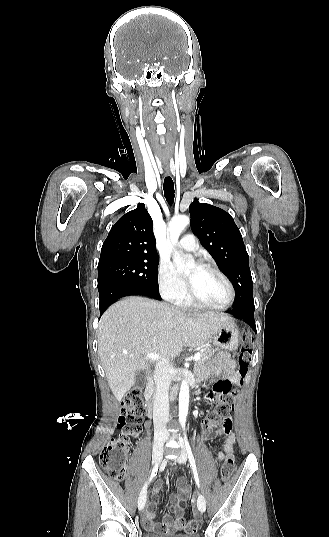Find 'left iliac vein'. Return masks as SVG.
<instances>
[{"mask_svg":"<svg viewBox=\"0 0 329 537\" xmlns=\"http://www.w3.org/2000/svg\"><path fill=\"white\" fill-rule=\"evenodd\" d=\"M177 442L180 445V456L178 457L177 461L179 463H185L187 461V453L185 451L184 442L183 439L180 437V435L176 436ZM197 507L200 512H205L206 510V500L205 497L202 494H199L197 499Z\"/></svg>","mask_w":329,"mask_h":537,"instance_id":"1","label":"left iliac vein"}]
</instances>
